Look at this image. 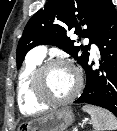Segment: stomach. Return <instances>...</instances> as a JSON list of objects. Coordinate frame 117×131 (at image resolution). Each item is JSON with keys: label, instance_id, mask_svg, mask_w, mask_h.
<instances>
[{"label": "stomach", "instance_id": "obj_1", "mask_svg": "<svg viewBox=\"0 0 117 131\" xmlns=\"http://www.w3.org/2000/svg\"><path fill=\"white\" fill-rule=\"evenodd\" d=\"M74 114L71 108L63 107L49 114L18 126V131H65L73 123Z\"/></svg>", "mask_w": 117, "mask_h": 131}]
</instances>
